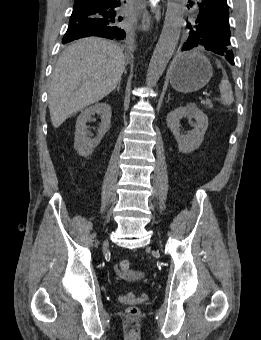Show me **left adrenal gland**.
<instances>
[{"instance_id":"a2214340","label":"left adrenal gland","mask_w":261,"mask_h":340,"mask_svg":"<svg viewBox=\"0 0 261 340\" xmlns=\"http://www.w3.org/2000/svg\"><path fill=\"white\" fill-rule=\"evenodd\" d=\"M170 100H171L170 94H168V100H167V102H169Z\"/></svg>"}]
</instances>
